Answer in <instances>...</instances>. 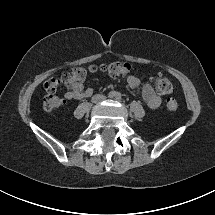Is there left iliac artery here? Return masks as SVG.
<instances>
[{"label":"left iliac artery","instance_id":"44dca946","mask_svg":"<svg viewBox=\"0 0 215 215\" xmlns=\"http://www.w3.org/2000/svg\"><path fill=\"white\" fill-rule=\"evenodd\" d=\"M116 99H117V100H120V99H121V94H120V93H117V94H116Z\"/></svg>","mask_w":215,"mask_h":215}]
</instances>
